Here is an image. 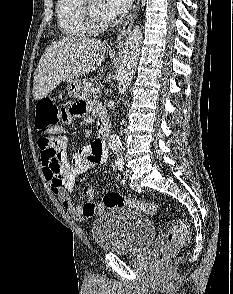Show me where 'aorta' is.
Returning <instances> with one entry per match:
<instances>
[{"mask_svg":"<svg viewBox=\"0 0 233 294\" xmlns=\"http://www.w3.org/2000/svg\"><path fill=\"white\" fill-rule=\"evenodd\" d=\"M142 40V28L139 25H136L129 32L122 52L121 64L117 74V88L120 95L125 93L133 79L135 68L141 51ZM108 145L111 150L117 155L116 161L118 163H123L124 159L122 156V143L119 136L116 134L111 135L108 140Z\"/></svg>","mask_w":233,"mask_h":294,"instance_id":"762f6f07","label":"aorta"}]
</instances>
